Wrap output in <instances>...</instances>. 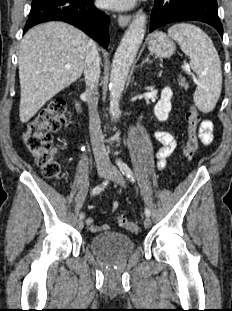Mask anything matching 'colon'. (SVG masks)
<instances>
[{
    "mask_svg": "<svg viewBox=\"0 0 232 311\" xmlns=\"http://www.w3.org/2000/svg\"><path fill=\"white\" fill-rule=\"evenodd\" d=\"M67 122L66 104L63 98H55L42 108L38 114L28 123L23 132L24 145L36 163L42 168L46 177L59 179L61 177L60 164L57 161L56 147L52 134L58 131ZM187 140L183 149V155L191 159L198 148V126L200 116L195 107H190L186 113ZM116 223L130 232H137L139 226L135 222L128 221L123 216H117Z\"/></svg>",
    "mask_w": 232,
    "mask_h": 311,
    "instance_id": "5ec220e1",
    "label": "colon"
}]
</instances>
